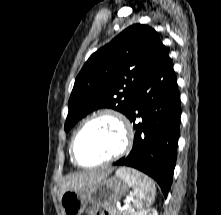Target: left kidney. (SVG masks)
<instances>
[{"instance_id":"obj_1","label":"left kidney","mask_w":221,"mask_h":215,"mask_svg":"<svg viewBox=\"0 0 221 215\" xmlns=\"http://www.w3.org/2000/svg\"><path fill=\"white\" fill-rule=\"evenodd\" d=\"M135 215H158L157 210L154 208H148L144 210H140L135 213Z\"/></svg>"}]
</instances>
